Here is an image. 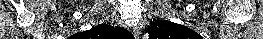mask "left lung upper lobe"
<instances>
[{"mask_svg": "<svg viewBox=\"0 0 263 39\" xmlns=\"http://www.w3.org/2000/svg\"><path fill=\"white\" fill-rule=\"evenodd\" d=\"M149 39H203L198 33L168 20L155 21L148 28Z\"/></svg>", "mask_w": 263, "mask_h": 39, "instance_id": "left-lung-upper-lobe-1", "label": "left lung upper lobe"}]
</instances>
